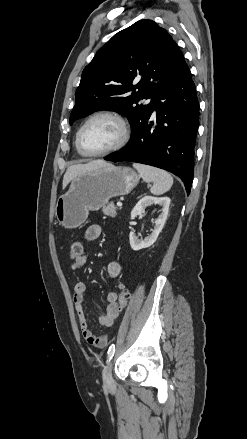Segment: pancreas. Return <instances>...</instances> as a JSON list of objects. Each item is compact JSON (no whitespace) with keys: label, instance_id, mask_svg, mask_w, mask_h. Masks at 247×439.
<instances>
[{"label":"pancreas","instance_id":"pancreas-1","mask_svg":"<svg viewBox=\"0 0 247 439\" xmlns=\"http://www.w3.org/2000/svg\"><path fill=\"white\" fill-rule=\"evenodd\" d=\"M103 213L106 216L115 217L117 215V207L113 202L108 203L106 206H103Z\"/></svg>","mask_w":247,"mask_h":439}]
</instances>
